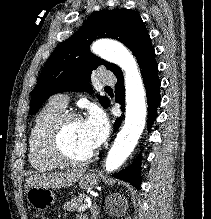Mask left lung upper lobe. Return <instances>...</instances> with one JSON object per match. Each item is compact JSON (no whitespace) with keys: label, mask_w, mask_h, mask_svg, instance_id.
Here are the masks:
<instances>
[{"label":"left lung upper lobe","mask_w":211,"mask_h":219,"mask_svg":"<svg viewBox=\"0 0 211 219\" xmlns=\"http://www.w3.org/2000/svg\"><path fill=\"white\" fill-rule=\"evenodd\" d=\"M140 15L129 9L102 10L93 14L69 39L50 56L32 92L30 114H35L53 94L63 91L93 93L89 84L91 73L100 65L114 74L120 68L93 55L89 46L96 38L111 37L127 46L135 55L148 37ZM104 107L109 99L99 97Z\"/></svg>","instance_id":"5c2ea615"}]
</instances>
